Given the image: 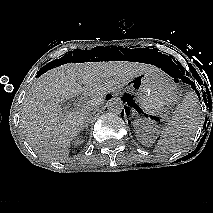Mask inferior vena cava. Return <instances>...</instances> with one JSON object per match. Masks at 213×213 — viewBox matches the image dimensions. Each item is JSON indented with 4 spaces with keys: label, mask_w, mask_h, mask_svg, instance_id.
<instances>
[{
    "label": "inferior vena cava",
    "mask_w": 213,
    "mask_h": 213,
    "mask_svg": "<svg viewBox=\"0 0 213 213\" xmlns=\"http://www.w3.org/2000/svg\"><path fill=\"white\" fill-rule=\"evenodd\" d=\"M97 111V108L86 107V111L84 113L85 122H89L94 118V115Z\"/></svg>",
    "instance_id": "1"
}]
</instances>
